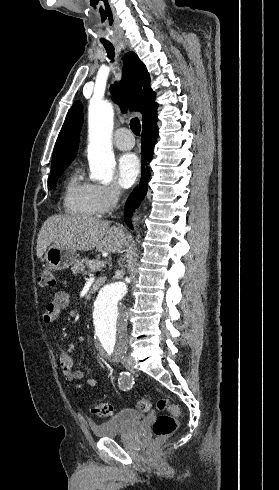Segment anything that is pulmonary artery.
<instances>
[{"instance_id": "pulmonary-artery-1", "label": "pulmonary artery", "mask_w": 279, "mask_h": 490, "mask_svg": "<svg viewBox=\"0 0 279 490\" xmlns=\"http://www.w3.org/2000/svg\"><path fill=\"white\" fill-rule=\"evenodd\" d=\"M116 135L114 144L119 150L128 151L137 144L136 137H128V128H117Z\"/></svg>"}]
</instances>
